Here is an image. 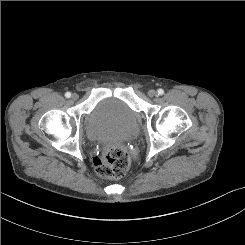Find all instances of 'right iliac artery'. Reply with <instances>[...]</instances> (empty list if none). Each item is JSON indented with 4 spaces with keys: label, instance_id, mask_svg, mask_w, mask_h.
<instances>
[{
    "label": "right iliac artery",
    "instance_id": "right-iliac-artery-1",
    "mask_svg": "<svg viewBox=\"0 0 245 245\" xmlns=\"http://www.w3.org/2000/svg\"><path fill=\"white\" fill-rule=\"evenodd\" d=\"M65 97H66V98H70V97H71V93H70V92H66V93H65Z\"/></svg>",
    "mask_w": 245,
    "mask_h": 245
}]
</instances>
